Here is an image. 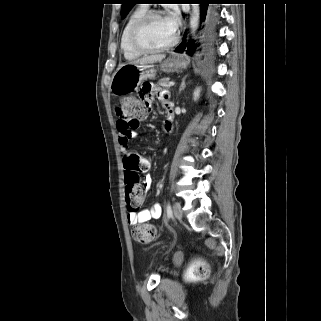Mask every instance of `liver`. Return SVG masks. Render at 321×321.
I'll return each mask as SVG.
<instances>
[{"instance_id": "obj_1", "label": "liver", "mask_w": 321, "mask_h": 321, "mask_svg": "<svg viewBox=\"0 0 321 321\" xmlns=\"http://www.w3.org/2000/svg\"><path fill=\"white\" fill-rule=\"evenodd\" d=\"M164 58H165V55H151V56H146V57H143L141 59H138V60H136V61H134L132 63L133 64H141V65L152 64V63L161 61Z\"/></svg>"}]
</instances>
